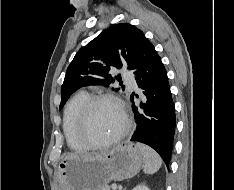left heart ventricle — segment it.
Listing matches in <instances>:
<instances>
[{
	"mask_svg": "<svg viewBox=\"0 0 234 190\" xmlns=\"http://www.w3.org/2000/svg\"><path fill=\"white\" fill-rule=\"evenodd\" d=\"M123 115L112 102L97 103L90 114L88 134L95 142H103L116 135L123 127Z\"/></svg>",
	"mask_w": 234,
	"mask_h": 190,
	"instance_id": "1",
	"label": "left heart ventricle"
}]
</instances>
